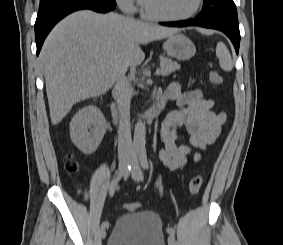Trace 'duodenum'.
Returning <instances> with one entry per match:
<instances>
[{
    "label": "duodenum",
    "instance_id": "410a0bca",
    "mask_svg": "<svg viewBox=\"0 0 283 245\" xmlns=\"http://www.w3.org/2000/svg\"><path fill=\"white\" fill-rule=\"evenodd\" d=\"M166 101H167L166 97L163 95H160L154 107L145 114L143 119L148 123L152 122L163 111L166 105ZM111 111H112V117H113L114 123L119 124L121 122V117L119 114L118 106L115 102H112Z\"/></svg>",
    "mask_w": 283,
    "mask_h": 245
}]
</instances>
